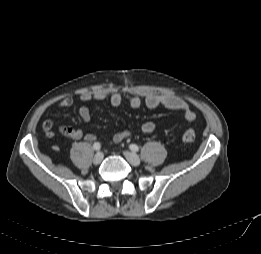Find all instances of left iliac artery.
<instances>
[{"label": "left iliac artery", "mask_w": 261, "mask_h": 254, "mask_svg": "<svg viewBox=\"0 0 261 254\" xmlns=\"http://www.w3.org/2000/svg\"><path fill=\"white\" fill-rule=\"evenodd\" d=\"M129 148L134 151V152H138L139 151V147L136 144H131L129 146Z\"/></svg>", "instance_id": "obj_1"}]
</instances>
